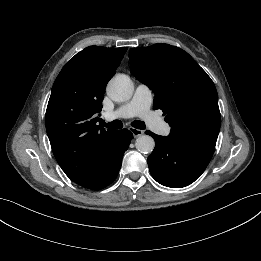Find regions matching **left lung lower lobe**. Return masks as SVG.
Returning a JSON list of instances; mask_svg holds the SVG:
<instances>
[{"mask_svg": "<svg viewBox=\"0 0 261 261\" xmlns=\"http://www.w3.org/2000/svg\"><path fill=\"white\" fill-rule=\"evenodd\" d=\"M155 148L147 162L152 177L160 184L181 188L194 182L206 169L215 146L187 143L172 136H159L150 131Z\"/></svg>", "mask_w": 261, "mask_h": 261, "instance_id": "0a47b994", "label": "left lung lower lobe"}]
</instances>
